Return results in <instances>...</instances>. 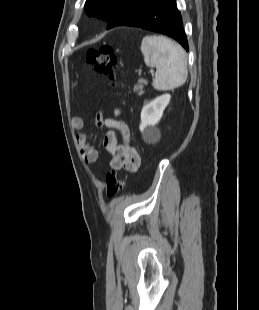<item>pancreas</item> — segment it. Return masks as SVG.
Returning <instances> with one entry per match:
<instances>
[{
	"instance_id": "cf45deb5",
	"label": "pancreas",
	"mask_w": 259,
	"mask_h": 310,
	"mask_svg": "<svg viewBox=\"0 0 259 310\" xmlns=\"http://www.w3.org/2000/svg\"><path fill=\"white\" fill-rule=\"evenodd\" d=\"M144 84H147V81L145 79H139L138 84L134 86V92L138 93V95L141 96L144 93L143 91Z\"/></svg>"
}]
</instances>
